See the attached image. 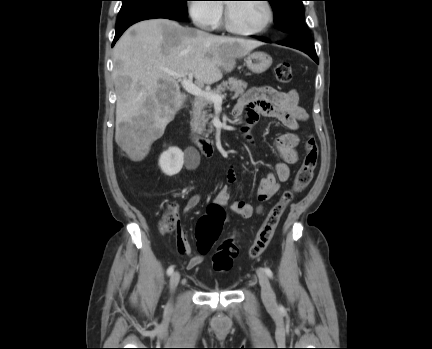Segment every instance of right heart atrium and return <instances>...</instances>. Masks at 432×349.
<instances>
[{
    "label": "right heart atrium",
    "instance_id": "1",
    "mask_svg": "<svg viewBox=\"0 0 432 349\" xmlns=\"http://www.w3.org/2000/svg\"><path fill=\"white\" fill-rule=\"evenodd\" d=\"M188 12L198 27L212 29L218 24L222 6L216 0H191L188 3Z\"/></svg>",
    "mask_w": 432,
    "mask_h": 349
}]
</instances>
